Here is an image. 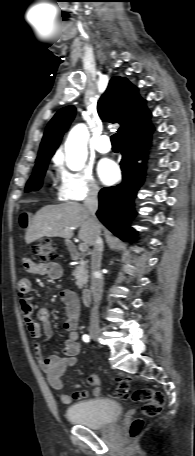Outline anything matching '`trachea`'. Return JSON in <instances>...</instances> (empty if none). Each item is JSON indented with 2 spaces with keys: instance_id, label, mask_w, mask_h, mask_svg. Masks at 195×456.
Wrapping results in <instances>:
<instances>
[{
  "instance_id": "3493384b",
  "label": "trachea",
  "mask_w": 195,
  "mask_h": 456,
  "mask_svg": "<svg viewBox=\"0 0 195 456\" xmlns=\"http://www.w3.org/2000/svg\"><path fill=\"white\" fill-rule=\"evenodd\" d=\"M111 142L114 147H120V135L117 133L112 135Z\"/></svg>"
}]
</instances>
